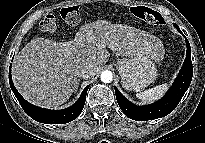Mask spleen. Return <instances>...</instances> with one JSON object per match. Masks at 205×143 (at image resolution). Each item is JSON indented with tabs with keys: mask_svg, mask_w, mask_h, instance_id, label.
Listing matches in <instances>:
<instances>
[{
	"mask_svg": "<svg viewBox=\"0 0 205 143\" xmlns=\"http://www.w3.org/2000/svg\"><path fill=\"white\" fill-rule=\"evenodd\" d=\"M169 84H161L145 90L143 92L137 93L136 97L143 102H153L155 100L160 99L167 91Z\"/></svg>",
	"mask_w": 205,
	"mask_h": 143,
	"instance_id": "1",
	"label": "spleen"
}]
</instances>
